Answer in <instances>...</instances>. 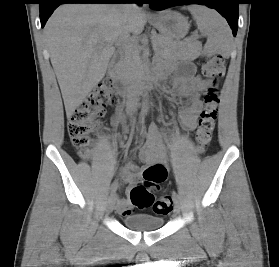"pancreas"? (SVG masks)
<instances>
[{"mask_svg": "<svg viewBox=\"0 0 279 267\" xmlns=\"http://www.w3.org/2000/svg\"><path fill=\"white\" fill-rule=\"evenodd\" d=\"M153 45L156 52L166 59H193L201 49L200 43L194 40L177 43L162 35L153 37ZM140 52L141 46L137 43H129L124 48L123 58L119 63L120 71L124 77L132 78L142 75Z\"/></svg>", "mask_w": 279, "mask_h": 267, "instance_id": "pancreas-1", "label": "pancreas"}]
</instances>
